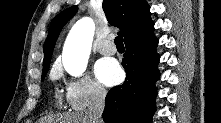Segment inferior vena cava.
<instances>
[{"mask_svg":"<svg viewBox=\"0 0 221 123\" xmlns=\"http://www.w3.org/2000/svg\"><path fill=\"white\" fill-rule=\"evenodd\" d=\"M105 92L94 88L91 94V102L86 111V116L91 123H102V113L105 107Z\"/></svg>","mask_w":221,"mask_h":123,"instance_id":"602c4592","label":"inferior vena cava"}]
</instances>
